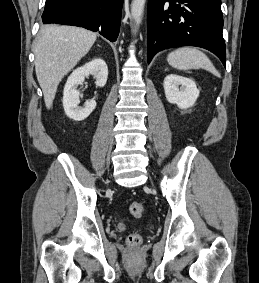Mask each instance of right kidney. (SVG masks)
<instances>
[{
	"label": "right kidney",
	"instance_id": "obj_1",
	"mask_svg": "<svg viewBox=\"0 0 259 283\" xmlns=\"http://www.w3.org/2000/svg\"><path fill=\"white\" fill-rule=\"evenodd\" d=\"M92 75L98 87H104L108 78V68L104 60L94 59L77 68L69 76L63 92V107L66 115L74 121L86 119L96 107V101H86L84 107H79L78 85H82L85 77Z\"/></svg>",
	"mask_w": 259,
	"mask_h": 283
}]
</instances>
